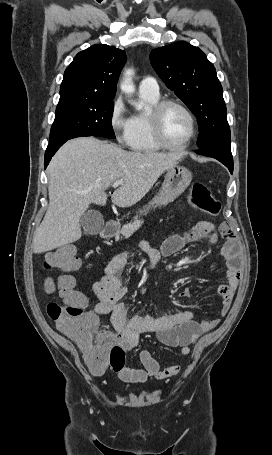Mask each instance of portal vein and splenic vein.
<instances>
[{
  "mask_svg": "<svg viewBox=\"0 0 272 455\" xmlns=\"http://www.w3.org/2000/svg\"><path fill=\"white\" fill-rule=\"evenodd\" d=\"M122 182L121 181H115L113 184H112V187L113 188H116L118 187Z\"/></svg>",
  "mask_w": 272,
  "mask_h": 455,
  "instance_id": "obj_1",
  "label": "portal vein and splenic vein"
}]
</instances>
